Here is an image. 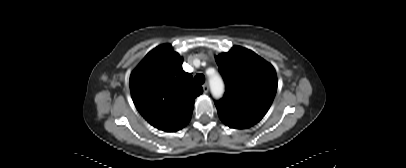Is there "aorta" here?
<instances>
[{"label": "aorta", "instance_id": "aorta-1", "mask_svg": "<svg viewBox=\"0 0 406 168\" xmlns=\"http://www.w3.org/2000/svg\"><path fill=\"white\" fill-rule=\"evenodd\" d=\"M209 84H210L212 96L214 98L222 97V95L224 93V82H223L221 76L217 73L210 75Z\"/></svg>", "mask_w": 406, "mask_h": 168}]
</instances>
